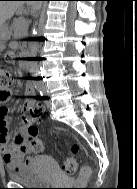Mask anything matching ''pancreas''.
<instances>
[{"instance_id":"1","label":"pancreas","mask_w":137,"mask_h":189,"mask_svg":"<svg viewBox=\"0 0 137 189\" xmlns=\"http://www.w3.org/2000/svg\"><path fill=\"white\" fill-rule=\"evenodd\" d=\"M12 30L14 38H23L27 35L28 23L22 17L17 18L13 22Z\"/></svg>"}]
</instances>
